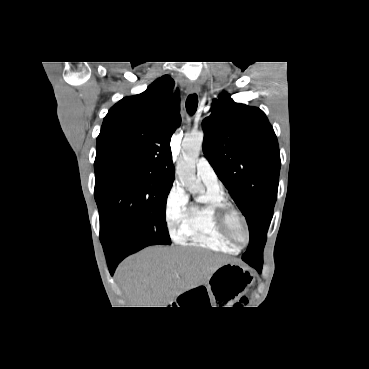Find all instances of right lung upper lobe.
Instances as JSON below:
<instances>
[{
	"mask_svg": "<svg viewBox=\"0 0 369 369\" xmlns=\"http://www.w3.org/2000/svg\"><path fill=\"white\" fill-rule=\"evenodd\" d=\"M173 86L171 77L163 76L108 111L97 138L94 168L131 169L174 181L170 140L181 116Z\"/></svg>",
	"mask_w": 369,
	"mask_h": 369,
	"instance_id": "1",
	"label": "right lung upper lobe"
}]
</instances>
